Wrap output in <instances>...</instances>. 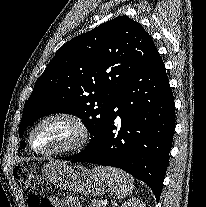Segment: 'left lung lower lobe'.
Instances as JSON below:
<instances>
[{"mask_svg": "<svg viewBox=\"0 0 206 207\" xmlns=\"http://www.w3.org/2000/svg\"><path fill=\"white\" fill-rule=\"evenodd\" d=\"M174 127V98L156 49L111 102L94 145L71 161L120 168L145 182L158 201Z\"/></svg>", "mask_w": 206, "mask_h": 207, "instance_id": "1", "label": "left lung lower lobe"}]
</instances>
